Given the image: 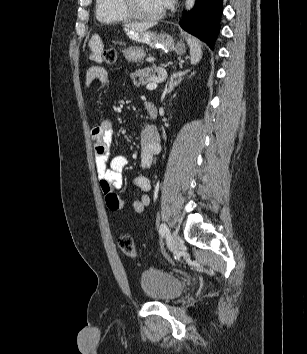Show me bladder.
Wrapping results in <instances>:
<instances>
[{"label":"bladder","mask_w":307,"mask_h":354,"mask_svg":"<svg viewBox=\"0 0 307 354\" xmlns=\"http://www.w3.org/2000/svg\"><path fill=\"white\" fill-rule=\"evenodd\" d=\"M140 287L148 299L159 302H170L181 295L184 284L173 274L153 267L141 273Z\"/></svg>","instance_id":"31cf9c89"}]
</instances>
